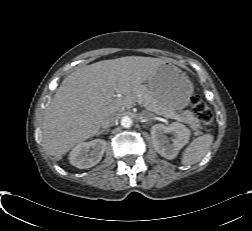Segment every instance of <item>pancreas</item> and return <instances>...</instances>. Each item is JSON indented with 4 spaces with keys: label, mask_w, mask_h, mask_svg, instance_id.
I'll use <instances>...</instances> for the list:
<instances>
[{
    "label": "pancreas",
    "mask_w": 252,
    "mask_h": 231,
    "mask_svg": "<svg viewBox=\"0 0 252 231\" xmlns=\"http://www.w3.org/2000/svg\"><path fill=\"white\" fill-rule=\"evenodd\" d=\"M131 99L132 103L138 102L143 105L148 111L155 113L157 115H174L180 118V121L188 124L192 130L195 131V134H199L201 129L199 119L190 111H184L182 114H178L175 111H165L163 110L155 101L153 96L150 94L149 90L145 86H141L133 94L127 96Z\"/></svg>",
    "instance_id": "cf45deb5"
}]
</instances>
